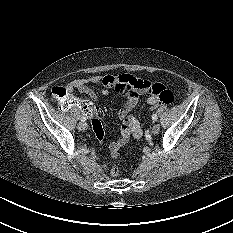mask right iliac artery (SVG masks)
Instances as JSON below:
<instances>
[{"instance_id": "obj_1", "label": "right iliac artery", "mask_w": 233, "mask_h": 233, "mask_svg": "<svg viewBox=\"0 0 233 233\" xmlns=\"http://www.w3.org/2000/svg\"><path fill=\"white\" fill-rule=\"evenodd\" d=\"M81 121L82 122H85L86 121V118L84 116L81 117Z\"/></svg>"}]
</instances>
